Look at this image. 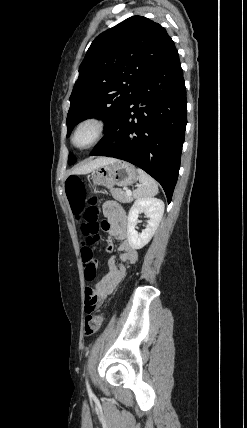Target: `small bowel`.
<instances>
[{
	"label": "small bowel",
	"instance_id": "obj_1",
	"mask_svg": "<svg viewBox=\"0 0 247 428\" xmlns=\"http://www.w3.org/2000/svg\"><path fill=\"white\" fill-rule=\"evenodd\" d=\"M103 214L106 218L105 229L113 238L120 241L117 250L120 252L121 263L117 262L115 255H110L107 260L108 272L94 286L85 288V301L88 298H95L100 303L121 282L126 273V265L134 264L138 259L137 251L128 240L127 216L123 208L117 202L107 201L103 204ZM106 250L112 253V244H108Z\"/></svg>",
	"mask_w": 247,
	"mask_h": 428
}]
</instances>
